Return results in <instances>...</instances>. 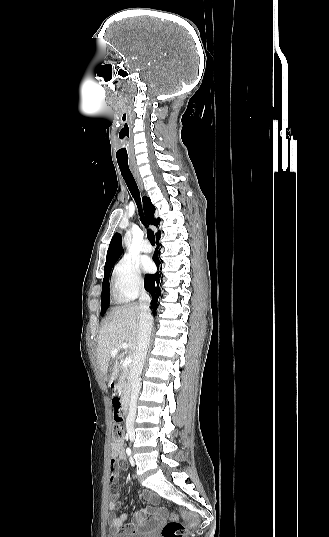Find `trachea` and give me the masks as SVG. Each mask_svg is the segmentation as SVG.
Returning a JSON list of instances; mask_svg holds the SVG:
<instances>
[{"mask_svg":"<svg viewBox=\"0 0 329 537\" xmlns=\"http://www.w3.org/2000/svg\"><path fill=\"white\" fill-rule=\"evenodd\" d=\"M118 165H119V168H120V171H121V175H122L123 179L125 180V182H126V184L128 186V189L131 192V195H132V197L134 198V200H135V202L137 204L140 220H141L142 224H144L145 227L148 228V225L146 224V220H145V218L143 216V212H142V208H141L140 192H139L138 186H137V184L135 182V179H134V177H133V175L131 173V170H130L128 164L118 163ZM147 238L152 244H155V235L149 229L147 230Z\"/></svg>","mask_w":329,"mask_h":537,"instance_id":"trachea-1","label":"trachea"}]
</instances>
